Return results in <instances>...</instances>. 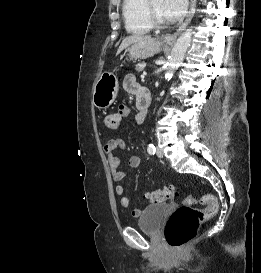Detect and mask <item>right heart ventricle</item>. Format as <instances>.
Masks as SVG:
<instances>
[{"label": "right heart ventricle", "instance_id": "right-heart-ventricle-1", "mask_svg": "<svg viewBox=\"0 0 261 273\" xmlns=\"http://www.w3.org/2000/svg\"><path fill=\"white\" fill-rule=\"evenodd\" d=\"M122 15L129 33L145 34L153 29L147 16L146 0H123Z\"/></svg>", "mask_w": 261, "mask_h": 273}]
</instances>
